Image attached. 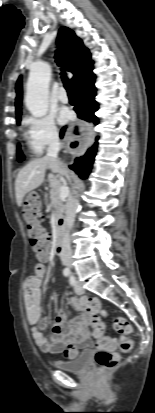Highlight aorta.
I'll list each match as a JSON object with an SVG mask.
<instances>
[{
	"label": "aorta",
	"instance_id": "1",
	"mask_svg": "<svg viewBox=\"0 0 155 413\" xmlns=\"http://www.w3.org/2000/svg\"><path fill=\"white\" fill-rule=\"evenodd\" d=\"M50 76L51 68L48 63L36 64L30 70L26 85L25 104L35 117H42L47 113Z\"/></svg>",
	"mask_w": 155,
	"mask_h": 413
}]
</instances>
